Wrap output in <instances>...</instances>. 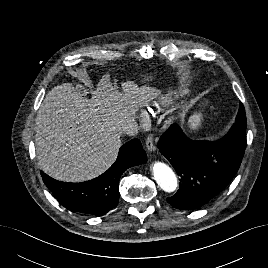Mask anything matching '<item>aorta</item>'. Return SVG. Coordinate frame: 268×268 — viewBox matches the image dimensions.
<instances>
[{
	"instance_id": "aorta-1",
	"label": "aorta",
	"mask_w": 268,
	"mask_h": 268,
	"mask_svg": "<svg viewBox=\"0 0 268 268\" xmlns=\"http://www.w3.org/2000/svg\"><path fill=\"white\" fill-rule=\"evenodd\" d=\"M154 179L165 192H173L177 188V177L173 170L165 163L155 162L152 166Z\"/></svg>"
}]
</instances>
